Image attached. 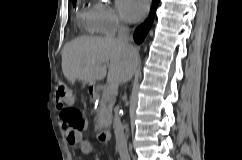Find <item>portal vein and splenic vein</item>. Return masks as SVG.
<instances>
[{
    "mask_svg": "<svg viewBox=\"0 0 242 160\" xmlns=\"http://www.w3.org/2000/svg\"><path fill=\"white\" fill-rule=\"evenodd\" d=\"M111 90L109 88L105 89L102 93V97L104 99H109L110 98V95H111Z\"/></svg>",
    "mask_w": 242,
    "mask_h": 160,
    "instance_id": "obj_1",
    "label": "portal vein and splenic vein"
}]
</instances>
